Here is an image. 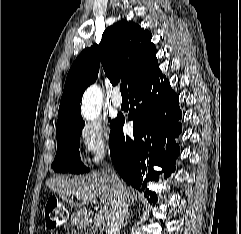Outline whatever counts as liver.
Wrapping results in <instances>:
<instances>
[{
  "label": "liver",
  "instance_id": "1",
  "mask_svg": "<svg viewBox=\"0 0 241 234\" xmlns=\"http://www.w3.org/2000/svg\"><path fill=\"white\" fill-rule=\"evenodd\" d=\"M49 189L56 192L63 200L75 207H83L84 198L100 200L99 214L108 220L113 210L116 200V186L111 175L106 172L93 171L86 175L75 176L73 178H51L46 182ZM126 190V200L133 204L138 200V193L132 187L124 184ZM71 196V199H70ZM82 201L78 203L73 198Z\"/></svg>",
  "mask_w": 241,
  "mask_h": 234
}]
</instances>
